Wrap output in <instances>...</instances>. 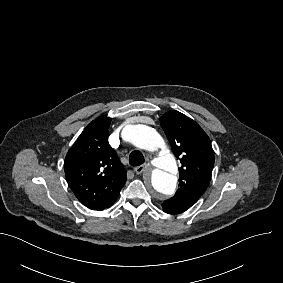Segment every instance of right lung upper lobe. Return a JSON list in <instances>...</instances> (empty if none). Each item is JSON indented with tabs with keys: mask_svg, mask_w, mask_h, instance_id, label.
Wrapping results in <instances>:
<instances>
[{
	"mask_svg": "<svg viewBox=\"0 0 283 283\" xmlns=\"http://www.w3.org/2000/svg\"><path fill=\"white\" fill-rule=\"evenodd\" d=\"M111 118L92 121L69 149L64 170L78 200L92 210L111 207L127 179L116 152L108 143Z\"/></svg>",
	"mask_w": 283,
	"mask_h": 283,
	"instance_id": "obj_1",
	"label": "right lung upper lobe"
}]
</instances>
